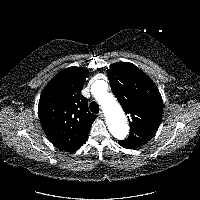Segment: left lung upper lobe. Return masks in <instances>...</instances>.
<instances>
[{
    "label": "left lung upper lobe",
    "instance_id": "1",
    "mask_svg": "<svg viewBox=\"0 0 200 200\" xmlns=\"http://www.w3.org/2000/svg\"><path fill=\"white\" fill-rule=\"evenodd\" d=\"M108 78L112 92L130 116L129 137L119 144L134 149L147 143L156 133L162 118L163 101L158 88L132 63L112 64Z\"/></svg>",
    "mask_w": 200,
    "mask_h": 200
}]
</instances>
